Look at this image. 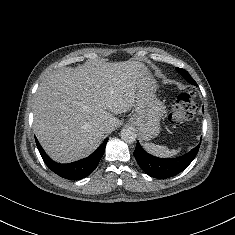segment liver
Wrapping results in <instances>:
<instances>
[{"label": "liver", "instance_id": "6515ba94", "mask_svg": "<svg viewBox=\"0 0 235 235\" xmlns=\"http://www.w3.org/2000/svg\"><path fill=\"white\" fill-rule=\"evenodd\" d=\"M146 70L138 61L96 62L48 75L33 106L34 132L47 154L62 163L90 155L119 126L114 115L134 106Z\"/></svg>", "mask_w": 235, "mask_h": 235}]
</instances>
